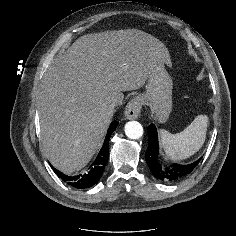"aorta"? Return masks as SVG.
<instances>
[{
	"instance_id": "obj_1",
	"label": "aorta",
	"mask_w": 236,
	"mask_h": 236,
	"mask_svg": "<svg viewBox=\"0 0 236 236\" xmlns=\"http://www.w3.org/2000/svg\"><path fill=\"white\" fill-rule=\"evenodd\" d=\"M125 134L130 139H139L143 135V127L137 121H129L125 124Z\"/></svg>"
}]
</instances>
